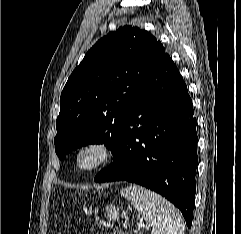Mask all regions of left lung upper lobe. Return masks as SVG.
<instances>
[{
  "instance_id": "left-lung-upper-lobe-1",
  "label": "left lung upper lobe",
  "mask_w": 241,
  "mask_h": 234,
  "mask_svg": "<svg viewBox=\"0 0 241 234\" xmlns=\"http://www.w3.org/2000/svg\"><path fill=\"white\" fill-rule=\"evenodd\" d=\"M165 49L138 27L125 25L101 38L70 75L60 97L55 151L104 143L114 153L127 112Z\"/></svg>"
}]
</instances>
